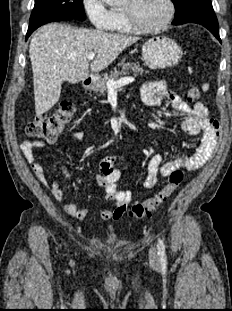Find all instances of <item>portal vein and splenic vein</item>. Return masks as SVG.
Instances as JSON below:
<instances>
[{"label": "portal vein and splenic vein", "mask_w": 232, "mask_h": 311, "mask_svg": "<svg viewBox=\"0 0 232 311\" xmlns=\"http://www.w3.org/2000/svg\"><path fill=\"white\" fill-rule=\"evenodd\" d=\"M87 58L89 61L93 60L95 58V52L89 53ZM132 82H134V78L124 77V78L119 79L118 81L109 80V81H107L106 84H107L108 90H114V89H117L119 87L125 86L129 83H132Z\"/></svg>", "instance_id": "portal-vein-and-splenic-vein-1"}]
</instances>
